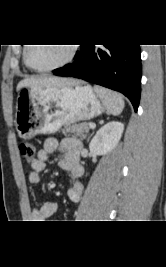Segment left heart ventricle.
Listing matches in <instances>:
<instances>
[{
    "instance_id": "obj_1",
    "label": "left heart ventricle",
    "mask_w": 166,
    "mask_h": 267,
    "mask_svg": "<svg viewBox=\"0 0 166 267\" xmlns=\"http://www.w3.org/2000/svg\"><path fill=\"white\" fill-rule=\"evenodd\" d=\"M69 48L65 44L33 45L29 49V63L37 68H46L62 62L68 55Z\"/></svg>"
}]
</instances>
